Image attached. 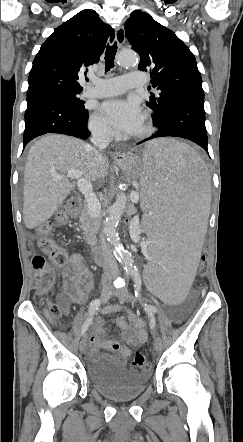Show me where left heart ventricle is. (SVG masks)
<instances>
[{"label": "left heart ventricle", "mask_w": 243, "mask_h": 442, "mask_svg": "<svg viewBox=\"0 0 243 442\" xmlns=\"http://www.w3.org/2000/svg\"><path fill=\"white\" fill-rule=\"evenodd\" d=\"M144 127H145V120H144V117H143L140 125L138 126V128L136 129V131L133 134L141 132L144 129Z\"/></svg>", "instance_id": "left-heart-ventricle-1"}]
</instances>
